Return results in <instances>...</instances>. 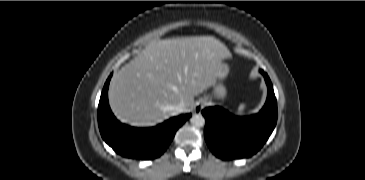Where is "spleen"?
<instances>
[{
	"mask_svg": "<svg viewBox=\"0 0 365 180\" xmlns=\"http://www.w3.org/2000/svg\"><path fill=\"white\" fill-rule=\"evenodd\" d=\"M245 105L244 104H241L240 106H239V108H238V112H237V114L238 115H243L244 114V110H245Z\"/></svg>",
	"mask_w": 365,
	"mask_h": 180,
	"instance_id": "1",
	"label": "spleen"
}]
</instances>
